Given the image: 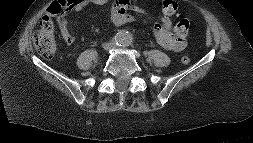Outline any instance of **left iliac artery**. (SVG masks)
Instances as JSON below:
<instances>
[{
	"label": "left iliac artery",
	"instance_id": "44dca946",
	"mask_svg": "<svg viewBox=\"0 0 253 143\" xmlns=\"http://www.w3.org/2000/svg\"><path fill=\"white\" fill-rule=\"evenodd\" d=\"M132 43V38L130 36L127 37L125 44L126 46L130 45Z\"/></svg>",
	"mask_w": 253,
	"mask_h": 143
}]
</instances>
